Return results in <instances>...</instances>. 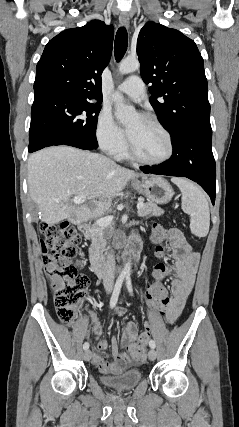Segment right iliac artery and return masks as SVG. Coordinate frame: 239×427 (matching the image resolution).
I'll return each instance as SVG.
<instances>
[{
  "mask_svg": "<svg viewBox=\"0 0 239 427\" xmlns=\"http://www.w3.org/2000/svg\"><path fill=\"white\" fill-rule=\"evenodd\" d=\"M123 279H124V277L120 276L116 281V284H115V287H114V290H113V293H112V296L110 299V308H114L116 303H117V300H118V297H119V294L121 291ZM88 348H89V343L85 342L83 344V349L87 350Z\"/></svg>",
  "mask_w": 239,
  "mask_h": 427,
  "instance_id": "obj_1",
  "label": "right iliac artery"
}]
</instances>
